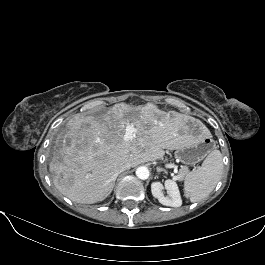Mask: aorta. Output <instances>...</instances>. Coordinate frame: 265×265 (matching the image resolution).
<instances>
[{
  "label": "aorta",
  "instance_id": "762f6f07",
  "mask_svg": "<svg viewBox=\"0 0 265 265\" xmlns=\"http://www.w3.org/2000/svg\"><path fill=\"white\" fill-rule=\"evenodd\" d=\"M150 172L147 167L141 166L136 170V176L141 180H146L149 178Z\"/></svg>",
  "mask_w": 265,
  "mask_h": 265
}]
</instances>
